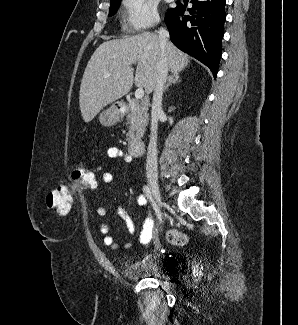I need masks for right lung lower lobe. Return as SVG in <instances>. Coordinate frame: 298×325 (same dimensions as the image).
I'll list each match as a JSON object with an SVG mask.
<instances>
[{
	"label": "right lung lower lobe",
	"mask_w": 298,
	"mask_h": 325,
	"mask_svg": "<svg viewBox=\"0 0 298 325\" xmlns=\"http://www.w3.org/2000/svg\"><path fill=\"white\" fill-rule=\"evenodd\" d=\"M226 0H190L193 4L184 15L186 7L177 5L165 16L171 41L182 51L208 66L217 75L224 35Z\"/></svg>",
	"instance_id": "obj_1"
}]
</instances>
